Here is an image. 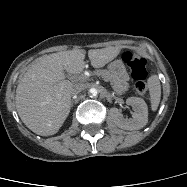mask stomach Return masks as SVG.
Here are the masks:
<instances>
[{
    "label": "stomach",
    "mask_w": 187,
    "mask_h": 187,
    "mask_svg": "<svg viewBox=\"0 0 187 187\" xmlns=\"http://www.w3.org/2000/svg\"><path fill=\"white\" fill-rule=\"evenodd\" d=\"M109 73L116 79L123 82L129 80V75L126 71L125 65L121 59L115 60L108 66Z\"/></svg>",
    "instance_id": "1"
}]
</instances>
